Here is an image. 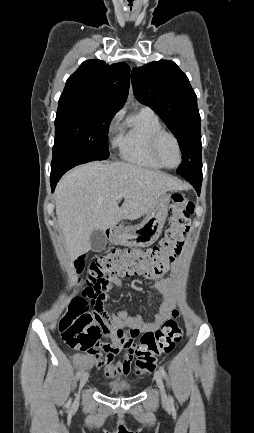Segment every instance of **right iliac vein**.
Wrapping results in <instances>:
<instances>
[{"instance_id": "1", "label": "right iliac vein", "mask_w": 254, "mask_h": 433, "mask_svg": "<svg viewBox=\"0 0 254 433\" xmlns=\"http://www.w3.org/2000/svg\"><path fill=\"white\" fill-rule=\"evenodd\" d=\"M87 381H88V373H84L81 376L80 381H79V391L84 387V385L87 383ZM78 399H79V394H78L76 400L78 401Z\"/></svg>"}]
</instances>
